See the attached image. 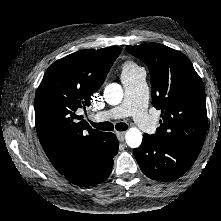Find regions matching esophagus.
<instances>
[{
	"label": "esophagus",
	"mask_w": 221,
	"mask_h": 221,
	"mask_svg": "<svg viewBox=\"0 0 221 221\" xmlns=\"http://www.w3.org/2000/svg\"><path fill=\"white\" fill-rule=\"evenodd\" d=\"M116 136L119 140V142H123L125 139V133L124 132H116Z\"/></svg>",
	"instance_id": "esophagus-1"
}]
</instances>
